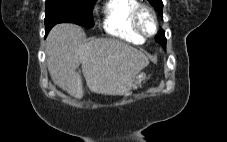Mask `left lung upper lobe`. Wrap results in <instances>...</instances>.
Wrapping results in <instances>:
<instances>
[{
	"label": "left lung upper lobe",
	"mask_w": 227,
	"mask_h": 142,
	"mask_svg": "<svg viewBox=\"0 0 227 142\" xmlns=\"http://www.w3.org/2000/svg\"><path fill=\"white\" fill-rule=\"evenodd\" d=\"M152 6L158 11L160 15H162L163 3L162 0H148ZM158 43H160L164 49L166 48V38L165 32L161 30L157 37L155 38Z\"/></svg>",
	"instance_id": "left-lung-upper-lobe-1"
}]
</instances>
